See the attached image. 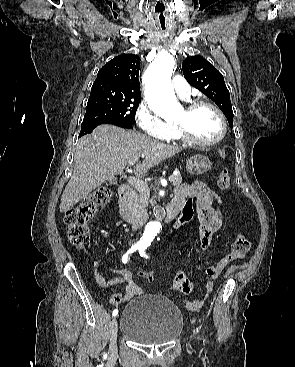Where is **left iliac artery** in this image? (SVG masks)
I'll return each mask as SVG.
<instances>
[{
    "label": "left iliac artery",
    "instance_id": "1",
    "mask_svg": "<svg viewBox=\"0 0 295 367\" xmlns=\"http://www.w3.org/2000/svg\"><path fill=\"white\" fill-rule=\"evenodd\" d=\"M146 248H147V247H140V248H139V254H140V256H141V257L148 258V255L146 254V251H145V250H146Z\"/></svg>",
    "mask_w": 295,
    "mask_h": 367
}]
</instances>
